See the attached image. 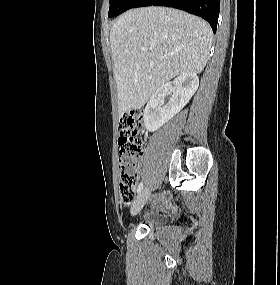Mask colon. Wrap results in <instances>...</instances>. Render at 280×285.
<instances>
[{
	"instance_id": "5ec220e1",
	"label": "colon",
	"mask_w": 280,
	"mask_h": 285,
	"mask_svg": "<svg viewBox=\"0 0 280 285\" xmlns=\"http://www.w3.org/2000/svg\"><path fill=\"white\" fill-rule=\"evenodd\" d=\"M145 121L143 113L131 111L121 117L119 123V195L123 204L129 205L135 198L138 176L135 164L143 156Z\"/></svg>"
}]
</instances>
